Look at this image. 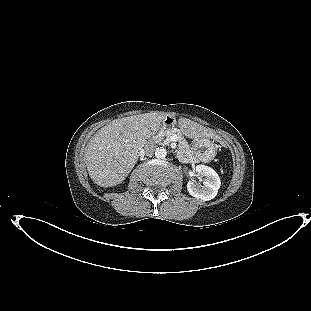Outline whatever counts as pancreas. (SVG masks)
I'll use <instances>...</instances> for the list:
<instances>
[{
    "instance_id": "1",
    "label": "pancreas",
    "mask_w": 311,
    "mask_h": 311,
    "mask_svg": "<svg viewBox=\"0 0 311 311\" xmlns=\"http://www.w3.org/2000/svg\"><path fill=\"white\" fill-rule=\"evenodd\" d=\"M173 134H176L178 136L179 146H178V154L181 156L186 157L187 162H192L196 160V157L194 156L192 150L190 149L188 142L184 139L181 131L176 128L167 129L165 131H162L160 133V136H155L154 139L158 143L163 144H169L170 138Z\"/></svg>"
}]
</instances>
